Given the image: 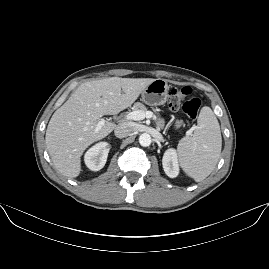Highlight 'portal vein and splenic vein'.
Instances as JSON below:
<instances>
[{
    "mask_svg": "<svg viewBox=\"0 0 269 269\" xmlns=\"http://www.w3.org/2000/svg\"><path fill=\"white\" fill-rule=\"evenodd\" d=\"M144 118L146 120H151L152 112L147 111L146 113H144L143 111H140V110L129 112L126 115H124L121 120L122 121H130V120L140 121V120H143ZM94 119L98 121V124L94 130V134H97L101 130V128L106 124V120L103 117H97V116H95ZM191 133H192V130L190 129L185 133V135L189 136L191 135Z\"/></svg>",
    "mask_w": 269,
    "mask_h": 269,
    "instance_id": "obj_1",
    "label": "portal vein and splenic vein"
}]
</instances>
